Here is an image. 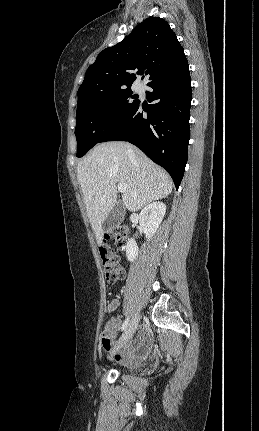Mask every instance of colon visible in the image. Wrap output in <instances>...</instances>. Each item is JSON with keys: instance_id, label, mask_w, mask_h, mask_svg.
I'll use <instances>...</instances> for the list:
<instances>
[{"instance_id": "colon-1", "label": "colon", "mask_w": 259, "mask_h": 431, "mask_svg": "<svg viewBox=\"0 0 259 431\" xmlns=\"http://www.w3.org/2000/svg\"><path fill=\"white\" fill-rule=\"evenodd\" d=\"M127 237V230L123 226H118L105 234V242L113 241L116 246H123ZM100 258L103 265L105 279L108 284L113 285L124 277V269L120 263L119 255L107 243H104L100 249ZM110 310L109 305L107 307ZM115 320L109 317L106 320L105 328L102 331V345L110 344L109 330L114 326Z\"/></svg>"}]
</instances>
